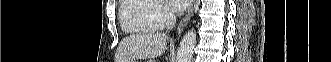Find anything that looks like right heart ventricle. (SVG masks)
Listing matches in <instances>:
<instances>
[{
	"instance_id": "obj_1",
	"label": "right heart ventricle",
	"mask_w": 331,
	"mask_h": 62,
	"mask_svg": "<svg viewBox=\"0 0 331 62\" xmlns=\"http://www.w3.org/2000/svg\"><path fill=\"white\" fill-rule=\"evenodd\" d=\"M155 6L148 0H123L119 9L120 24L126 32L151 33L157 30L153 20Z\"/></svg>"
}]
</instances>
